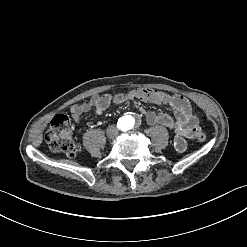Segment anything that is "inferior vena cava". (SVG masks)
Instances as JSON below:
<instances>
[{"instance_id": "602c4592", "label": "inferior vena cava", "mask_w": 247, "mask_h": 247, "mask_svg": "<svg viewBox=\"0 0 247 247\" xmlns=\"http://www.w3.org/2000/svg\"><path fill=\"white\" fill-rule=\"evenodd\" d=\"M119 133V130L116 126L114 125H110L108 128H107V135L110 137V138H114L118 135Z\"/></svg>"}]
</instances>
